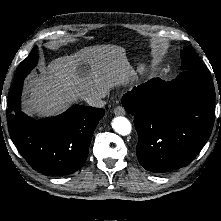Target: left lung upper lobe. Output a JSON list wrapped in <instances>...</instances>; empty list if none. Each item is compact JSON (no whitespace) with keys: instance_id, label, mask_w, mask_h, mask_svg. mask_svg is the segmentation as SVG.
<instances>
[{"instance_id":"1","label":"left lung upper lobe","mask_w":221,"mask_h":221,"mask_svg":"<svg viewBox=\"0 0 221 221\" xmlns=\"http://www.w3.org/2000/svg\"><path fill=\"white\" fill-rule=\"evenodd\" d=\"M183 70L205 72L200 60L197 58L195 51L191 47H185L181 52Z\"/></svg>"}]
</instances>
